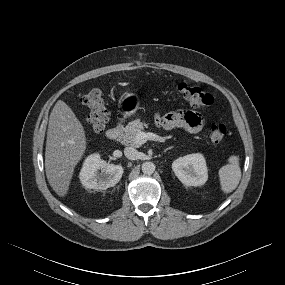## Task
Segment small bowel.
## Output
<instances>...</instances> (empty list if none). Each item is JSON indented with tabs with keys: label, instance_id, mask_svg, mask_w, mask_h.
<instances>
[{
	"label": "small bowel",
	"instance_id": "obj_1",
	"mask_svg": "<svg viewBox=\"0 0 285 285\" xmlns=\"http://www.w3.org/2000/svg\"><path fill=\"white\" fill-rule=\"evenodd\" d=\"M157 121L167 129L183 128L190 133H197L203 128L205 118L199 112L179 110L159 115Z\"/></svg>",
	"mask_w": 285,
	"mask_h": 285
}]
</instances>
